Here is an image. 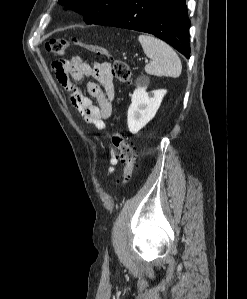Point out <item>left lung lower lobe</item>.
<instances>
[{
    "label": "left lung lower lobe",
    "instance_id": "obj_1",
    "mask_svg": "<svg viewBox=\"0 0 247 299\" xmlns=\"http://www.w3.org/2000/svg\"><path fill=\"white\" fill-rule=\"evenodd\" d=\"M93 24L153 34L190 57V20L185 0H121Z\"/></svg>",
    "mask_w": 247,
    "mask_h": 299
}]
</instances>
